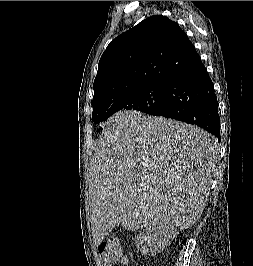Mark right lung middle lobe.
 I'll return each mask as SVG.
<instances>
[{
	"mask_svg": "<svg viewBox=\"0 0 253 266\" xmlns=\"http://www.w3.org/2000/svg\"><path fill=\"white\" fill-rule=\"evenodd\" d=\"M166 87L167 82H152L95 104L92 112L93 122L100 125L122 110H137L154 115L162 109Z\"/></svg>",
	"mask_w": 253,
	"mask_h": 266,
	"instance_id": "dd1d6c3e",
	"label": "right lung middle lobe"
}]
</instances>
